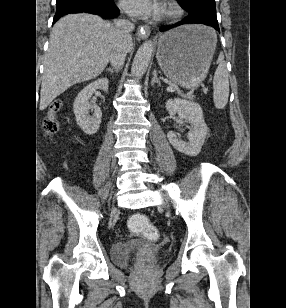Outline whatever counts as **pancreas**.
Listing matches in <instances>:
<instances>
[{
  "label": "pancreas",
  "instance_id": "cf45deb5",
  "mask_svg": "<svg viewBox=\"0 0 286 308\" xmlns=\"http://www.w3.org/2000/svg\"><path fill=\"white\" fill-rule=\"evenodd\" d=\"M188 97L189 98H194V96L192 95V92L189 93Z\"/></svg>",
  "mask_w": 286,
  "mask_h": 308
}]
</instances>
